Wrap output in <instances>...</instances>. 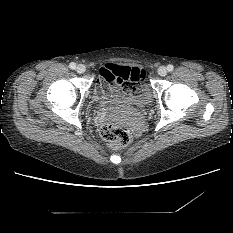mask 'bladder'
<instances>
[{
	"mask_svg": "<svg viewBox=\"0 0 233 233\" xmlns=\"http://www.w3.org/2000/svg\"><path fill=\"white\" fill-rule=\"evenodd\" d=\"M135 70H139L141 74V81L143 82L144 80V70L142 68H134ZM103 96L106 99H113V100H127L131 101L136 104H140L145 102L149 95L150 92L149 90L145 87L142 86L138 90H136L133 95L129 96L124 90H121L117 86H110V85H105L103 88ZM92 111V109H90Z\"/></svg>",
	"mask_w": 233,
	"mask_h": 233,
	"instance_id": "obj_1",
	"label": "bladder"
}]
</instances>
